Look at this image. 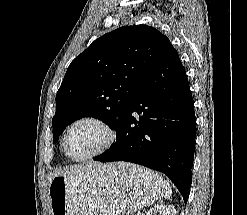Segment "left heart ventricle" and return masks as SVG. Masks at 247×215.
Masks as SVG:
<instances>
[{"label": "left heart ventricle", "instance_id": "left-heart-ventricle-1", "mask_svg": "<svg viewBox=\"0 0 247 215\" xmlns=\"http://www.w3.org/2000/svg\"><path fill=\"white\" fill-rule=\"evenodd\" d=\"M104 131L97 125L84 122L76 125L67 138V148L74 157H83L96 151L105 141Z\"/></svg>", "mask_w": 247, "mask_h": 215}]
</instances>
